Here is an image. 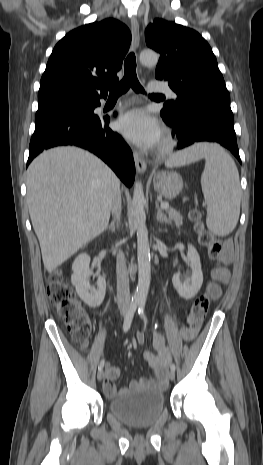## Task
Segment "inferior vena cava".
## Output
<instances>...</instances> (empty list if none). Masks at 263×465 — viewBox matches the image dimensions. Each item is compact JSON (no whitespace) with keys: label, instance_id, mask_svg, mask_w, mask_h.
I'll return each instance as SVG.
<instances>
[{"label":"inferior vena cava","instance_id":"602c4592","mask_svg":"<svg viewBox=\"0 0 263 465\" xmlns=\"http://www.w3.org/2000/svg\"><path fill=\"white\" fill-rule=\"evenodd\" d=\"M112 215L117 221L121 216V195L120 191L114 197L112 203ZM116 274H117V301L119 309H127L130 306V289L129 277L126 267L125 256L119 252L116 260Z\"/></svg>","mask_w":263,"mask_h":465}]
</instances>
